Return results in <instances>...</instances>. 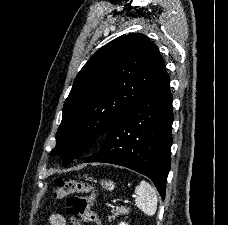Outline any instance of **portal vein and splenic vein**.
Listing matches in <instances>:
<instances>
[{"mask_svg": "<svg viewBox=\"0 0 228 225\" xmlns=\"http://www.w3.org/2000/svg\"><path fill=\"white\" fill-rule=\"evenodd\" d=\"M133 200H137L138 196L137 195H133L132 196ZM120 198L119 197H114L113 200H111V202H107V207H114L116 205V202H119ZM132 201L131 200H124V205H131Z\"/></svg>", "mask_w": 228, "mask_h": 225, "instance_id": "18ae733b", "label": "portal vein and splenic vein"}]
</instances>
